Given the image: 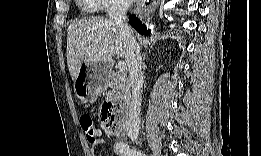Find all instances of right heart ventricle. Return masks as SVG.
<instances>
[{
	"label": "right heart ventricle",
	"mask_w": 261,
	"mask_h": 156,
	"mask_svg": "<svg viewBox=\"0 0 261 156\" xmlns=\"http://www.w3.org/2000/svg\"><path fill=\"white\" fill-rule=\"evenodd\" d=\"M82 4L90 7V0L82 1Z\"/></svg>",
	"instance_id": "right-heart-ventricle-1"
}]
</instances>
